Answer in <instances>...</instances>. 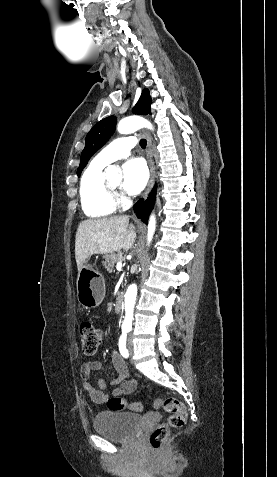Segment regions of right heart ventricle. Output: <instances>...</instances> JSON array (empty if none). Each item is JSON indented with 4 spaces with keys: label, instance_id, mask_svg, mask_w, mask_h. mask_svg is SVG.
Here are the masks:
<instances>
[{
    "label": "right heart ventricle",
    "instance_id": "e07e8e85",
    "mask_svg": "<svg viewBox=\"0 0 277 477\" xmlns=\"http://www.w3.org/2000/svg\"><path fill=\"white\" fill-rule=\"evenodd\" d=\"M107 164L94 159L84 170L80 179V203L84 214L91 218L111 215L116 209L104 188V169Z\"/></svg>",
    "mask_w": 277,
    "mask_h": 477
}]
</instances>
